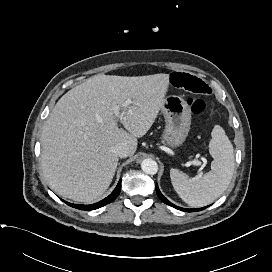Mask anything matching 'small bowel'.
<instances>
[{
  "instance_id": "c3829d8e",
  "label": "small bowel",
  "mask_w": 272,
  "mask_h": 272,
  "mask_svg": "<svg viewBox=\"0 0 272 272\" xmlns=\"http://www.w3.org/2000/svg\"><path fill=\"white\" fill-rule=\"evenodd\" d=\"M169 83L176 89L196 96H206L212 91L211 87L203 79L185 72L171 73Z\"/></svg>"
}]
</instances>
